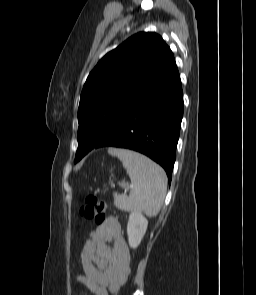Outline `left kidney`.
Returning a JSON list of instances; mask_svg holds the SVG:
<instances>
[{
    "instance_id": "left-kidney-1",
    "label": "left kidney",
    "mask_w": 256,
    "mask_h": 295,
    "mask_svg": "<svg viewBox=\"0 0 256 295\" xmlns=\"http://www.w3.org/2000/svg\"><path fill=\"white\" fill-rule=\"evenodd\" d=\"M148 220L139 211L129 215L127 224L128 242L131 248H137L146 233Z\"/></svg>"
}]
</instances>
